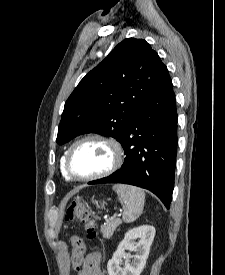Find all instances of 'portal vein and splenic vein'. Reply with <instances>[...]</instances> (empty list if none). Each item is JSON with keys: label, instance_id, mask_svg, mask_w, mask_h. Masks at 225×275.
Segmentation results:
<instances>
[{"label": "portal vein and splenic vein", "instance_id": "18ae733b", "mask_svg": "<svg viewBox=\"0 0 225 275\" xmlns=\"http://www.w3.org/2000/svg\"><path fill=\"white\" fill-rule=\"evenodd\" d=\"M118 215L116 214V215H114V217H117Z\"/></svg>", "mask_w": 225, "mask_h": 275}]
</instances>
